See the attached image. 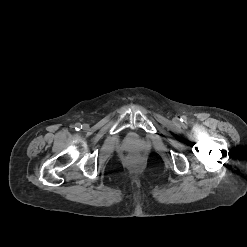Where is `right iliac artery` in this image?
<instances>
[{
    "instance_id": "obj_1",
    "label": "right iliac artery",
    "mask_w": 247,
    "mask_h": 247,
    "mask_svg": "<svg viewBox=\"0 0 247 247\" xmlns=\"http://www.w3.org/2000/svg\"><path fill=\"white\" fill-rule=\"evenodd\" d=\"M74 127L76 130H80L82 128V125L80 123H76Z\"/></svg>"
}]
</instances>
